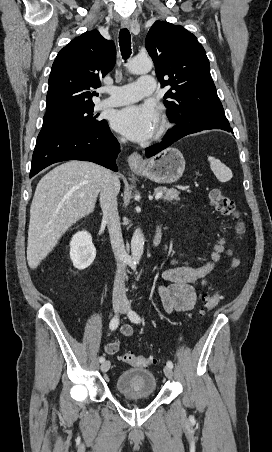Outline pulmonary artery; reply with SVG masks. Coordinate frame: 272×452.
I'll use <instances>...</instances> for the list:
<instances>
[{"label":"pulmonary artery","mask_w":272,"mask_h":452,"mask_svg":"<svg viewBox=\"0 0 272 452\" xmlns=\"http://www.w3.org/2000/svg\"><path fill=\"white\" fill-rule=\"evenodd\" d=\"M156 83L153 77H142L137 82L129 83L123 86H114L105 88L104 92L109 94V97L104 99L101 107H117L129 104L150 96L155 92Z\"/></svg>","instance_id":"e3ab8cb5"}]
</instances>
